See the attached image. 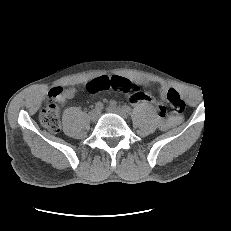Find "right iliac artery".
Instances as JSON below:
<instances>
[{
    "label": "right iliac artery",
    "instance_id": "82829eb1",
    "mask_svg": "<svg viewBox=\"0 0 231 231\" xmlns=\"http://www.w3.org/2000/svg\"><path fill=\"white\" fill-rule=\"evenodd\" d=\"M95 109H96L97 111L102 110V109H103V103H101V102L96 103Z\"/></svg>",
    "mask_w": 231,
    "mask_h": 231
}]
</instances>
